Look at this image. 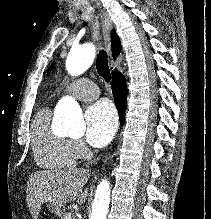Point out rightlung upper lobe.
<instances>
[{
    "label": "right lung upper lobe",
    "instance_id": "right-lung-upper-lobe-1",
    "mask_svg": "<svg viewBox=\"0 0 211 219\" xmlns=\"http://www.w3.org/2000/svg\"><path fill=\"white\" fill-rule=\"evenodd\" d=\"M111 45H112V55L114 58H116L120 54L121 44L115 30H112Z\"/></svg>",
    "mask_w": 211,
    "mask_h": 219
}]
</instances>
